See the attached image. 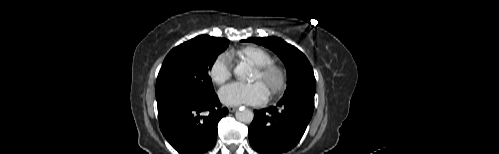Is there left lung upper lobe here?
Masks as SVG:
<instances>
[{"label": "left lung upper lobe", "instance_id": "obj_1", "mask_svg": "<svg viewBox=\"0 0 499 154\" xmlns=\"http://www.w3.org/2000/svg\"><path fill=\"white\" fill-rule=\"evenodd\" d=\"M242 41L261 44L275 52L283 61L288 73V86L283 97L297 92L315 93L313 68L306 56L296 47L278 37H251Z\"/></svg>", "mask_w": 499, "mask_h": 154}]
</instances>
